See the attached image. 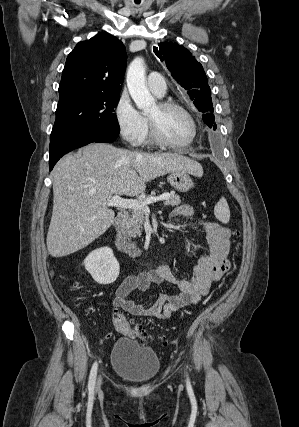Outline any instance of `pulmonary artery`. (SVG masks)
I'll return each mask as SVG.
<instances>
[{
    "label": "pulmonary artery",
    "instance_id": "e3ab8cb5",
    "mask_svg": "<svg viewBox=\"0 0 299 427\" xmlns=\"http://www.w3.org/2000/svg\"><path fill=\"white\" fill-rule=\"evenodd\" d=\"M149 89L157 96L163 97L167 90V84L164 76L158 72H151L147 78Z\"/></svg>",
    "mask_w": 299,
    "mask_h": 427
}]
</instances>
